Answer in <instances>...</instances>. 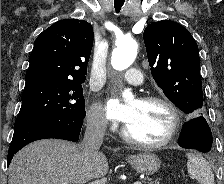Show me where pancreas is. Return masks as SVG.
<instances>
[{
    "label": "pancreas",
    "mask_w": 224,
    "mask_h": 184,
    "mask_svg": "<svg viewBox=\"0 0 224 184\" xmlns=\"http://www.w3.org/2000/svg\"><path fill=\"white\" fill-rule=\"evenodd\" d=\"M148 184H159V182L158 181H148Z\"/></svg>",
    "instance_id": "obj_1"
}]
</instances>
